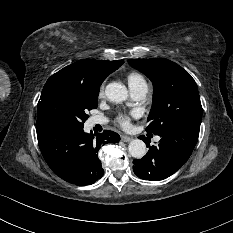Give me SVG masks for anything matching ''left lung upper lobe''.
Returning <instances> with one entry per match:
<instances>
[{
	"label": "left lung upper lobe",
	"instance_id": "5c2ea615",
	"mask_svg": "<svg viewBox=\"0 0 233 233\" xmlns=\"http://www.w3.org/2000/svg\"><path fill=\"white\" fill-rule=\"evenodd\" d=\"M128 63L153 83V104L147 132L160 135L189 120H201L202 106L191 75L167 59H129Z\"/></svg>",
	"mask_w": 233,
	"mask_h": 233
}]
</instances>
